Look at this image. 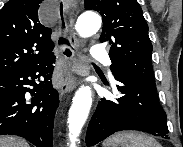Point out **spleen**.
I'll list each match as a JSON object with an SVG mask.
<instances>
[{
    "label": "spleen",
    "mask_w": 183,
    "mask_h": 147,
    "mask_svg": "<svg viewBox=\"0 0 183 147\" xmlns=\"http://www.w3.org/2000/svg\"><path fill=\"white\" fill-rule=\"evenodd\" d=\"M161 147L151 136L137 132H119L103 142V147Z\"/></svg>",
    "instance_id": "obj_1"
}]
</instances>
